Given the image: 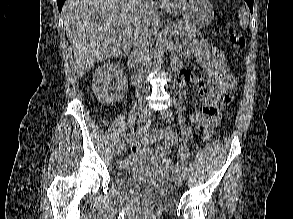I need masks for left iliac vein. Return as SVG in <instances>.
<instances>
[{
	"label": "left iliac vein",
	"instance_id": "1",
	"mask_svg": "<svg viewBox=\"0 0 293 219\" xmlns=\"http://www.w3.org/2000/svg\"><path fill=\"white\" fill-rule=\"evenodd\" d=\"M161 115H162L163 118L167 119V121L169 123L174 121V117H173L172 111L170 109L162 110ZM181 169H182L181 175H182L183 179H186V177H187V168L184 165H182Z\"/></svg>",
	"mask_w": 293,
	"mask_h": 219
}]
</instances>
